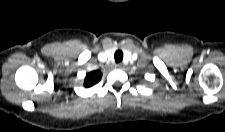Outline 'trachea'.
Returning <instances> with one entry per match:
<instances>
[{"mask_svg":"<svg viewBox=\"0 0 225 132\" xmlns=\"http://www.w3.org/2000/svg\"><path fill=\"white\" fill-rule=\"evenodd\" d=\"M114 58H115V61L116 63L122 61L123 59V52L121 50H117L114 54Z\"/></svg>","mask_w":225,"mask_h":132,"instance_id":"obj_1","label":"trachea"}]
</instances>
